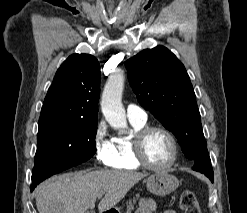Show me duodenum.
I'll use <instances>...</instances> for the list:
<instances>
[{
	"instance_id": "obj_1",
	"label": "duodenum",
	"mask_w": 247,
	"mask_h": 213,
	"mask_svg": "<svg viewBox=\"0 0 247 213\" xmlns=\"http://www.w3.org/2000/svg\"><path fill=\"white\" fill-rule=\"evenodd\" d=\"M102 213H111V212H102Z\"/></svg>"
}]
</instances>
